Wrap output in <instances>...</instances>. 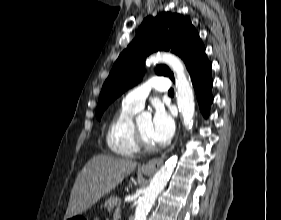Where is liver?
<instances>
[{"label":"liver","instance_id":"liver-1","mask_svg":"<svg viewBox=\"0 0 281 220\" xmlns=\"http://www.w3.org/2000/svg\"><path fill=\"white\" fill-rule=\"evenodd\" d=\"M136 166L134 160L111 155L101 154L91 158L75 180L64 220L84 213L114 190Z\"/></svg>","mask_w":281,"mask_h":220}]
</instances>
